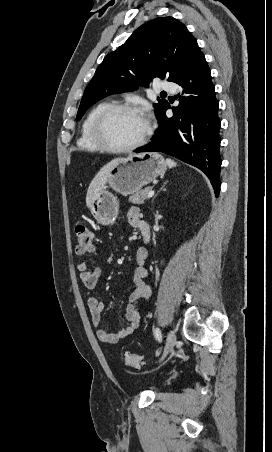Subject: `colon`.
I'll return each mask as SVG.
<instances>
[{"label": "colon", "instance_id": "1", "mask_svg": "<svg viewBox=\"0 0 272 452\" xmlns=\"http://www.w3.org/2000/svg\"><path fill=\"white\" fill-rule=\"evenodd\" d=\"M76 253L79 255L91 253L94 250V234L84 222L75 224ZM125 364L131 367H142L144 361L141 356L134 353H126Z\"/></svg>", "mask_w": 272, "mask_h": 452}]
</instances>
